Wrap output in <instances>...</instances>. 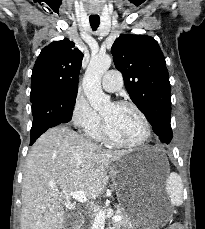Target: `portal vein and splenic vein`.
<instances>
[{"instance_id":"portal-vein-and-splenic-vein-1","label":"portal vein and splenic vein","mask_w":205,"mask_h":229,"mask_svg":"<svg viewBox=\"0 0 205 229\" xmlns=\"http://www.w3.org/2000/svg\"><path fill=\"white\" fill-rule=\"evenodd\" d=\"M60 196H64L66 199L73 198L74 200H77L81 203H84L87 201V196L85 195L83 190L72 191V192L65 193V194L60 193ZM112 220L113 221H120L121 216L115 215V216H113Z\"/></svg>"}]
</instances>
